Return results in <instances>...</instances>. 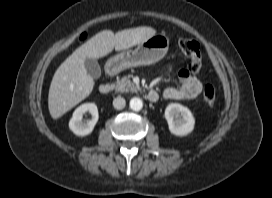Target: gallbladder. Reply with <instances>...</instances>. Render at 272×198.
I'll use <instances>...</instances> for the list:
<instances>
[{
    "instance_id": "obj_1",
    "label": "gallbladder",
    "mask_w": 272,
    "mask_h": 198,
    "mask_svg": "<svg viewBox=\"0 0 272 198\" xmlns=\"http://www.w3.org/2000/svg\"><path fill=\"white\" fill-rule=\"evenodd\" d=\"M87 74L94 79H98L101 76V68L95 59L86 58L84 62Z\"/></svg>"
}]
</instances>
